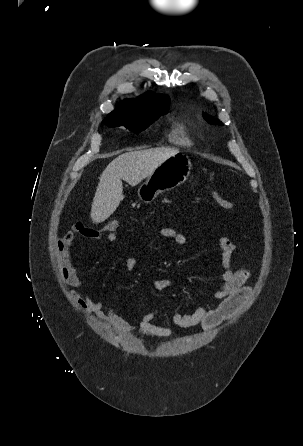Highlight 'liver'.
Returning <instances> with one entry per match:
<instances>
[{"mask_svg":"<svg viewBox=\"0 0 303 446\" xmlns=\"http://www.w3.org/2000/svg\"><path fill=\"white\" fill-rule=\"evenodd\" d=\"M177 149L156 148L131 151L115 158L100 176L91 207V219L101 223L110 217L124 199L122 180L136 186L159 165L178 154Z\"/></svg>","mask_w":303,"mask_h":446,"instance_id":"obj_1","label":"liver"}]
</instances>
